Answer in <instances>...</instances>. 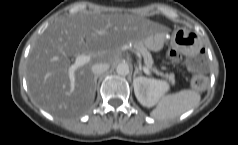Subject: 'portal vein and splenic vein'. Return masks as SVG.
Instances as JSON below:
<instances>
[{
  "label": "portal vein and splenic vein",
  "mask_w": 238,
  "mask_h": 145,
  "mask_svg": "<svg viewBox=\"0 0 238 145\" xmlns=\"http://www.w3.org/2000/svg\"><path fill=\"white\" fill-rule=\"evenodd\" d=\"M91 61V57L89 55H78L75 58V62L73 65L70 66L69 68V79H70V87H71V92H73L74 88H75V76H74V72L77 68H79L80 66L85 65L86 63ZM143 71L146 74H150L149 69L144 66L143 67Z\"/></svg>",
  "instance_id": "portal-vein-and-splenic-vein-1"
}]
</instances>
